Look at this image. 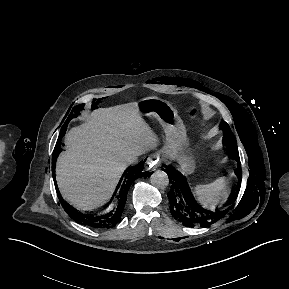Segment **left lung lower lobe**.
<instances>
[{
	"label": "left lung lower lobe",
	"instance_id": "obj_1",
	"mask_svg": "<svg viewBox=\"0 0 289 289\" xmlns=\"http://www.w3.org/2000/svg\"><path fill=\"white\" fill-rule=\"evenodd\" d=\"M172 184L168 193L170 210L173 217L179 219L185 226L207 227L221 219L228 209L212 213L203 209L195 201L184 176L172 167L166 169ZM237 176L240 181V161H238Z\"/></svg>",
	"mask_w": 289,
	"mask_h": 289
}]
</instances>
